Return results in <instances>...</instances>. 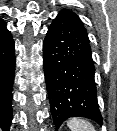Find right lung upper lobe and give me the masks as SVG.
Wrapping results in <instances>:
<instances>
[{"label": "right lung upper lobe", "instance_id": "cb5924a9", "mask_svg": "<svg viewBox=\"0 0 117 131\" xmlns=\"http://www.w3.org/2000/svg\"><path fill=\"white\" fill-rule=\"evenodd\" d=\"M6 22L0 17V29L5 28Z\"/></svg>", "mask_w": 117, "mask_h": 131}]
</instances>
